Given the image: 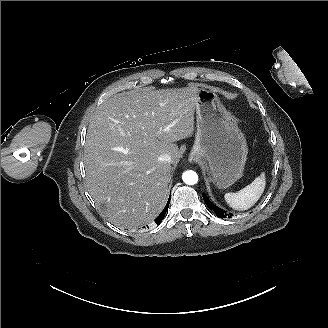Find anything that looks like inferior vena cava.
<instances>
[{
  "label": "inferior vena cava",
  "mask_w": 328,
  "mask_h": 328,
  "mask_svg": "<svg viewBox=\"0 0 328 328\" xmlns=\"http://www.w3.org/2000/svg\"><path fill=\"white\" fill-rule=\"evenodd\" d=\"M158 159L159 161L171 162V156L169 154H162Z\"/></svg>",
  "instance_id": "602c4592"
}]
</instances>
